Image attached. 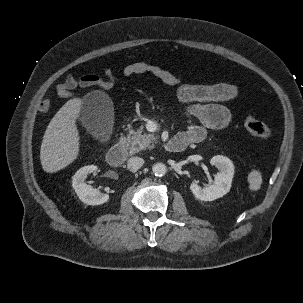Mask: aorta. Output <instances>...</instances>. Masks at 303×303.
Wrapping results in <instances>:
<instances>
[{
  "instance_id": "1",
  "label": "aorta",
  "mask_w": 303,
  "mask_h": 303,
  "mask_svg": "<svg viewBox=\"0 0 303 303\" xmlns=\"http://www.w3.org/2000/svg\"><path fill=\"white\" fill-rule=\"evenodd\" d=\"M152 171L155 176H164L167 172V167L164 163H155L152 167Z\"/></svg>"
}]
</instances>
